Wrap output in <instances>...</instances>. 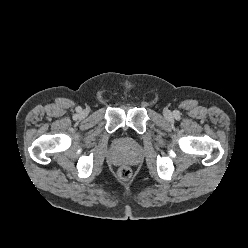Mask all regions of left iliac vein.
<instances>
[{
    "label": "left iliac vein",
    "mask_w": 248,
    "mask_h": 248,
    "mask_svg": "<svg viewBox=\"0 0 248 248\" xmlns=\"http://www.w3.org/2000/svg\"><path fill=\"white\" fill-rule=\"evenodd\" d=\"M164 116H165V118L168 119V120L172 119V117H173L172 112L169 111V110H166V111L164 112Z\"/></svg>",
    "instance_id": "4c4485c4"
}]
</instances>
